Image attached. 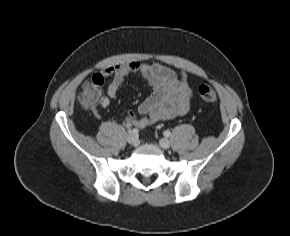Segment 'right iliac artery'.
<instances>
[{"label":"right iliac artery","mask_w":290,"mask_h":236,"mask_svg":"<svg viewBox=\"0 0 290 236\" xmlns=\"http://www.w3.org/2000/svg\"><path fill=\"white\" fill-rule=\"evenodd\" d=\"M131 133H133L134 135L138 134V130L136 128H134L133 130H131Z\"/></svg>","instance_id":"82829eb1"}]
</instances>
